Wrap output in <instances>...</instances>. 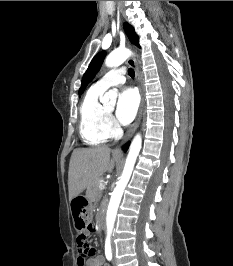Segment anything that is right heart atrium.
<instances>
[{"instance_id":"obj_1","label":"right heart atrium","mask_w":233,"mask_h":266,"mask_svg":"<svg viewBox=\"0 0 233 266\" xmlns=\"http://www.w3.org/2000/svg\"><path fill=\"white\" fill-rule=\"evenodd\" d=\"M106 130H107V133L110 135V136H114L118 133V125L117 123L115 122V120L113 119V117L111 115H108L107 116V119H106Z\"/></svg>"}]
</instances>
